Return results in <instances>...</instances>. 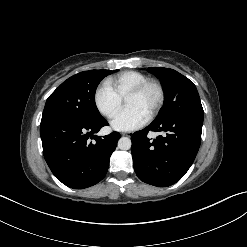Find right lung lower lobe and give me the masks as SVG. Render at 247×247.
<instances>
[{
    "label": "right lung lower lobe",
    "mask_w": 247,
    "mask_h": 247,
    "mask_svg": "<svg viewBox=\"0 0 247 247\" xmlns=\"http://www.w3.org/2000/svg\"><path fill=\"white\" fill-rule=\"evenodd\" d=\"M108 125L102 117L92 123L57 118L41 122L44 158L52 173L66 186L82 189L101 181L109 167L110 156L120 138L118 132L93 136ZM94 138L95 142L88 139Z\"/></svg>",
    "instance_id": "right-lung-lower-lobe-1"
}]
</instances>
